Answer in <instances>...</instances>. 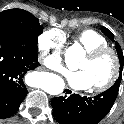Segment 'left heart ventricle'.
I'll return each mask as SVG.
<instances>
[{"instance_id": "1", "label": "left heart ventricle", "mask_w": 124, "mask_h": 124, "mask_svg": "<svg viewBox=\"0 0 124 124\" xmlns=\"http://www.w3.org/2000/svg\"><path fill=\"white\" fill-rule=\"evenodd\" d=\"M113 59L110 54H104L97 59H88L86 56L79 62L76 69L88 73L91 87L104 84L113 72Z\"/></svg>"}]
</instances>
